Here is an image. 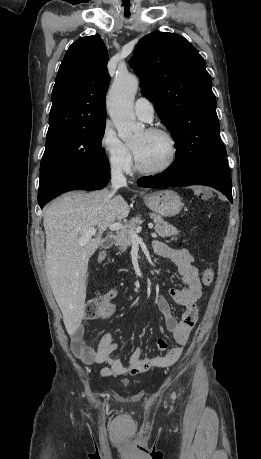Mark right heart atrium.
I'll return each instance as SVG.
<instances>
[{
	"label": "right heart atrium",
	"mask_w": 261,
	"mask_h": 459,
	"mask_svg": "<svg viewBox=\"0 0 261 459\" xmlns=\"http://www.w3.org/2000/svg\"><path fill=\"white\" fill-rule=\"evenodd\" d=\"M99 145L113 172L125 174L131 171L133 166L131 151L118 137L111 124L106 123L102 128Z\"/></svg>",
	"instance_id": "1"
}]
</instances>
